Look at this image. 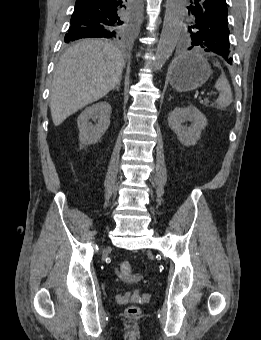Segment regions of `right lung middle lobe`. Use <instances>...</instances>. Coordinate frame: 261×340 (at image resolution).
<instances>
[{
    "mask_svg": "<svg viewBox=\"0 0 261 340\" xmlns=\"http://www.w3.org/2000/svg\"><path fill=\"white\" fill-rule=\"evenodd\" d=\"M134 12H135L134 5L133 4L129 5V7L124 11L121 19L111 24L105 31V34L102 35V37L114 39L126 38V36L129 34L131 30L130 24L134 16ZM82 38H84V36L80 33H67L65 35L64 40L66 43H69Z\"/></svg>",
    "mask_w": 261,
    "mask_h": 340,
    "instance_id": "right-lung-middle-lobe-1",
    "label": "right lung middle lobe"
}]
</instances>
